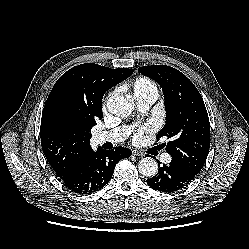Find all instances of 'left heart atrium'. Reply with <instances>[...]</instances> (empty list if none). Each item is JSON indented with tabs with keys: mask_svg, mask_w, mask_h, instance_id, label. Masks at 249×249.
Wrapping results in <instances>:
<instances>
[{
	"mask_svg": "<svg viewBox=\"0 0 249 249\" xmlns=\"http://www.w3.org/2000/svg\"><path fill=\"white\" fill-rule=\"evenodd\" d=\"M151 130H152V125H149V124L139 127L134 133V136H133L134 141L136 143H142L145 138L144 134Z\"/></svg>",
	"mask_w": 249,
	"mask_h": 249,
	"instance_id": "obj_1",
	"label": "left heart atrium"
}]
</instances>
